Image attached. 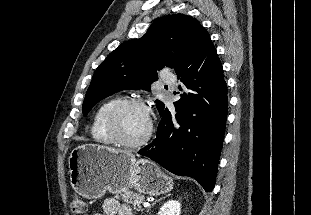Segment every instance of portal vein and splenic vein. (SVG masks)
Wrapping results in <instances>:
<instances>
[{
    "label": "portal vein and splenic vein",
    "mask_w": 311,
    "mask_h": 215,
    "mask_svg": "<svg viewBox=\"0 0 311 215\" xmlns=\"http://www.w3.org/2000/svg\"><path fill=\"white\" fill-rule=\"evenodd\" d=\"M143 206H144V207H149L150 204H149L148 202H143Z\"/></svg>",
    "instance_id": "portal-vein-and-splenic-vein-1"
}]
</instances>
